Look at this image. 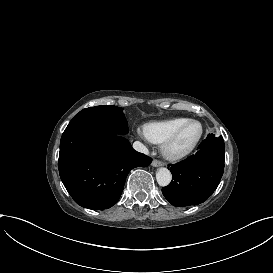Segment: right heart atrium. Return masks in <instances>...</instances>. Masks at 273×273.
Listing matches in <instances>:
<instances>
[{
    "mask_svg": "<svg viewBox=\"0 0 273 273\" xmlns=\"http://www.w3.org/2000/svg\"><path fill=\"white\" fill-rule=\"evenodd\" d=\"M137 134H138L139 136H142V131H141L140 129H138V130H137Z\"/></svg>",
    "mask_w": 273,
    "mask_h": 273,
    "instance_id": "obj_1",
    "label": "right heart atrium"
}]
</instances>
